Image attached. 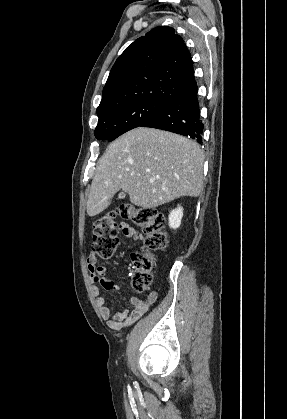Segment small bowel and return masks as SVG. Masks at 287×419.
<instances>
[{"mask_svg":"<svg viewBox=\"0 0 287 419\" xmlns=\"http://www.w3.org/2000/svg\"><path fill=\"white\" fill-rule=\"evenodd\" d=\"M120 230L123 235L130 237L135 241H141L143 239L140 233L126 223H122L120 225ZM87 265L91 275V281L94 285L92 292L96 297L98 309L102 318L107 321V324L111 328L121 329L133 324L148 311L149 307L155 301V293H151L144 298L131 297L128 299V305L130 308H125L120 312L112 314L110 309L106 306L105 299L100 295L98 285H101L109 291L121 290L122 287L106 277V268L103 266H97L95 256L92 255L87 259Z\"/></svg>","mask_w":287,"mask_h":419,"instance_id":"c3829d8e","label":"small bowel"}]
</instances>
